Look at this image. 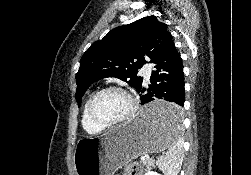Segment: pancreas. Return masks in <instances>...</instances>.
Instances as JSON below:
<instances>
[{
  "label": "pancreas",
  "instance_id": "1",
  "mask_svg": "<svg viewBox=\"0 0 251 175\" xmlns=\"http://www.w3.org/2000/svg\"><path fill=\"white\" fill-rule=\"evenodd\" d=\"M141 163L142 165H145L147 169H151V167H154L155 161L152 157H146V159H141Z\"/></svg>",
  "mask_w": 251,
  "mask_h": 175
}]
</instances>
